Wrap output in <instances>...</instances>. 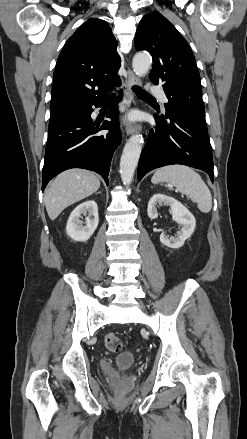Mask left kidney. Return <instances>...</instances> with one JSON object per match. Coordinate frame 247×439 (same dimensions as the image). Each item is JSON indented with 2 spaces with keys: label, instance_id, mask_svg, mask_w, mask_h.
Segmentation results:
<instances>
[{
  "label": "left kidney",
  "instance_id": "5707ae66",
  "mask_svg": "<svg viewBox=\"0 0 247 439\" xmlns=\"http://www.w3.org/2000/svg\"><path fill=\"white\" fill-rule=\"evenodd\" d=\"M162 204L170 206L173 220L181 224L182 228L177 232L176 237L167 236L162 233L160 235V241L167 247L174 249L180 248L184 245L185 240L189 239L194 232L196 226L195 217L175 198L157 193L151 197L148 203L147 213L150 219H156L158 217L157 207Z\"/></svg>",
  "mask_w": 247,
  "mask_h": 439
}]
</instances>
